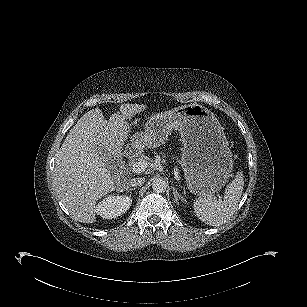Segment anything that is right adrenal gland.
<instances>
[{
    "label": "right adrenal gland",
    "instance_id": "2a0ac1e0",
    "mask_svg": "<svg viewBox=\"0 0 307 307\" xmlns=\"http://www.w3.org/2000/svg\"><path fill=\"white\" fill-rule=\"evenodd\" d=\"M129 190H135V188H130Z\"/></svg>",
    "mask_w": 307,
    "mask_h": 307
}]
</instances>
